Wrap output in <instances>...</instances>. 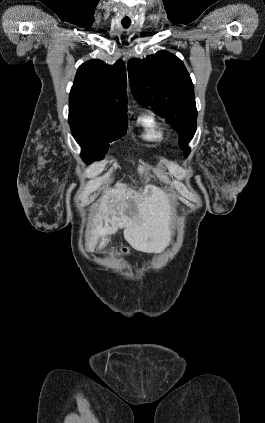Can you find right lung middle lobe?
<instances>
[{
    "instance_id": "1",
    "label": "right lung middle lobe",
    "mask_w": 265,
    "mask_h": 423,
    "mask_svg": "<svg viewBox=\"0 0 265 423\" xmlns=\"http://www.w3.org/2000/svg\"><path fill=\"white\" fill-rule=\"evenodd\" d=\"M126 117L109 118L85 110L69 109L71 132L82 148L81 157L85 163L102 159L109 143L126 134Z\"/></svg>"
}]
</instances>
